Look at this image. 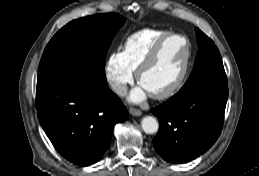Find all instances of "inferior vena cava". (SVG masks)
<instances>
[{
	"mask_svg": "<svg viewBox=\"0 0 259 176\" xmlns=\"http://www.w3.org/2000/svg\"><path fill=\"white\" fill-rule=\"evenodd\" d=\"M111 86L113 90L119 95H125L127 93V86L119 82H112Z\"/></svg>",
	"mask_w": 259,
	"mask_h": 176,
	"instance_id": "obj_1",
	"label": "inferior vena cava"
}]
</instances>
